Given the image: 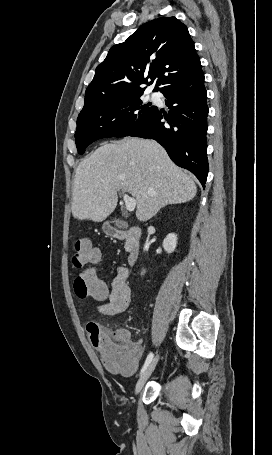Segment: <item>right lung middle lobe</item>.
I'll return each mask as SVG.
<instances>
[{
    "label": "right lung middle lobe",
    "mask_w": 272,
    "mask_h": 455,
    "mask_svg": "<svg viewBox=\"0 0 272 455\" xmlns=\"http://www.w3.org/2000/svg\"><path fill=\"white\" fill-rule=\"evenodd\" d=\"M142 94L126 97L93 110L80 113L77 119L75 142L80 154L100 138L128 136L157 109L144 104Z\"/></svg>",
    "instance_id": "obj_1"
}]
</instances>
